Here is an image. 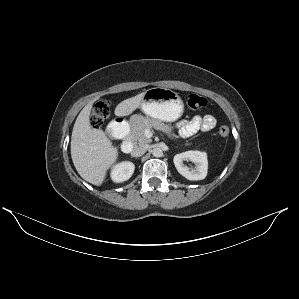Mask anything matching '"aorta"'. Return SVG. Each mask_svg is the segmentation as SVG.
<instances>
[{"label": "aorta", "mask_w": 299, "mask_h": 299, "mask_svg": "<svg viewBox=\"0 0 299 299\" xmlns=\"http://www.w3.org/2000/svg\"><path fill=\"white\" fill-rule=\"evenodd\" d=\"M152 154L154 157H161L163 155V152H162L161 148L156 147L152 150Z\"/></svg>", "instance_id": "aorta-1"}]
</instances>
